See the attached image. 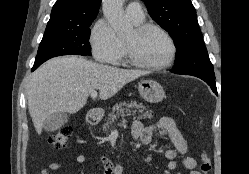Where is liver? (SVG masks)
<instances>
[{"label": "liver", "instance_id": "liver-1", "mask_svg": "<svg viewBox=\"0 0 249 174\" xmlns=\"http://www.w3.org/2000/svg\"><path fill=\"white\" fill-rule=\"evenodd\" d=\"M96 63L79 56H62L47 61L31 74L27 86L28 110L34 127L54 113L74 114L83 108L91 92L99 90L101 100L114 96L127 83L146 75Z\"/></svg>", "mask_w": 249, "mask_h": 174}]
</instances>
